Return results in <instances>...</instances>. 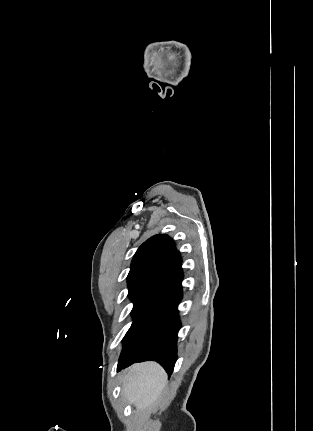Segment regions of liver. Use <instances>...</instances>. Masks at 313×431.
<instances>
[{
    "instance_id": "obj_1",
    "label": "liver",
    "mask_w": 313,
    "mask_h": 431,
    "mask_svg": "<svg viewBox=\"0 0 313 431\" xmlns=\"http://www.w3.org/2000/svg\"><path fill=\"white\" fill-rule=\"evenodd\" d=\"M166 382L167 375L160 365L139 363L126 370L122 393L137 409H145L157 400Z\"/></svg>"
}]
</instances>
